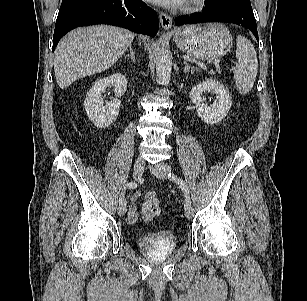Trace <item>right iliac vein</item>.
Returning a JSON list of instances; mask_svg holds the SVG:
<instances>
[{
	"label": "right iliac vein",
	"mask_w": 307,
	"mask_h": 301,
	"mask_svg": "<svg viewBox=\"0 0 307 301\" xmlns=\"http://www.w3.org/2000/svg\"><path fill=\"white\" fill-rule=\"evenodd\" d=\"M144 171V161L142 159H136L133 166V178L139 180ZM127 211V205L124 203L119 206L118 214L123 216Z\"/></svg>",
	"instance_id": "63e3f726"
}]
</instances>
